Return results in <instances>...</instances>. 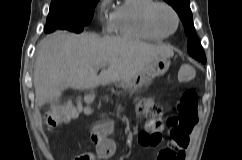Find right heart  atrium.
I'll return each instance as SVG.
<instances>
[{"mask_svg": "<svg viewBox=\"0 0 242 160\" xmlns=\"http://www.w3.org/2000/svg\"><path fill=\"white\" fill-rule=\"evenodd\" d=\"M110 0H101L100 2V11L102 14H106L109 8Z\"/></svg>", "mask_w": 242, "mask_h": 160, "instance_id": "obj_1", "label": "right heart atrium"}]
</instances>
